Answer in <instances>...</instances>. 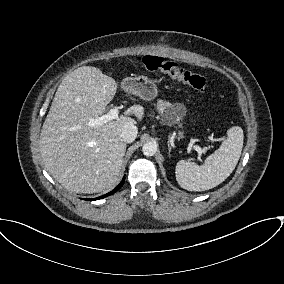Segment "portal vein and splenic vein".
<instances>
[{
    "label": "portal vein and splenic vein",
    "instance_id": "portal-vein-and-splenic-vein-1",
    "mask_svg": "<svg viewBox=\"0 0 284 284\" xmlns=\"http://www.w3.org/2000/svg\"><path fill=\"white\" fill-rule=\"evenodd\" d=\"M118 115H119L118 108H112L107 114H104L101 117L92 120L89 124L91 126L102 125L108 121L117 119ZM194 149L199 153V156H201V154L205 152V150L202 149L200 146H194Z\"/></svg>",
    "mask_w": 284,
    "mask_h": 284
}]
</instances>
